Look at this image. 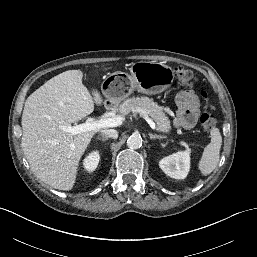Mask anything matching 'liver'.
I'll return each instance as SVG.
<instances>
[{"instance_id":"liver-1","label":"liver","mask_w":257,"mask_h":257,"mask_svg":"<svg viewBox=\"0 0 257 257\" xmlns=\"http://www.w3.org/2000/svg\"><path fill=\"white\" fill-rule=\"evenodd\" d=\"M82 77L81 70L60 73L34 91L24 104L22 150L34 174L58 190L73 188L80 160L97 132L72 135L60 126H71L91 114L95 104L105 103L97 89L90 92L84 86Z\"/></svg>"}]
</instances>
